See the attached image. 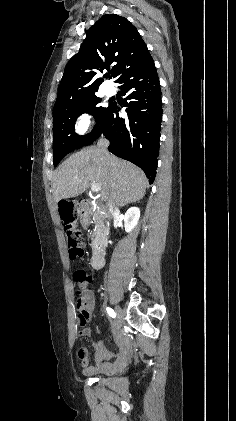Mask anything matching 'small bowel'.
<instances>
[{
	"label": "small bowel",
	"instance_id": "c3829d8e",
	"mask_svg": "<svg viewBox=\"0 0 236 421\" xmlns=\"http://www.w3.org/2000/svg\"><path fill=\"white\" fill-rule=\"evenodd\" d=\"M93 304H94V296H93V294H92V292L91 291H87L81 298H80V300H79V306H82L84 309H86L87 311H90L91 310V308H92V306H93ZM81 334L83 335V336H88V335H90V331L88 330V329H84L82 332H81ZM116 339H119V336H116ZM101 349L102 350H104L103 349V347L102 346H98L97 347V359L99 360V355H100V352H101ZM105 351V350H104ZM108 353V352H107ZM109 354V353H108ZM109 356H110V354H109ZM79 358L83 361V363L85 364V366L87 365V360H88V355H87V351H86V354L83 356V357H81V356H79ZM87 371H88V368H87Z\"/></svg>",
	"mask_w": 236,
	"mask_h": 421
}]
</instances>
